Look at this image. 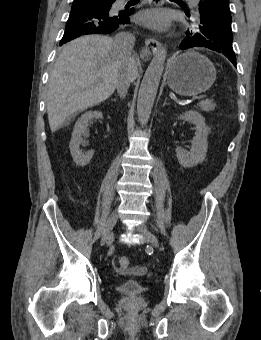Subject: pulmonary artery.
I'll return each instance as SVG.
<instances>
[{"instance_id": "1", "label": "pulmonary artery", "mask_w": 261, "mask_h": 340, "mask_svg": "<svg viewBox=\"0 0 261 340\" xmlns=\"http://www.w3.org/2000/svg\"><path fill=\"white\" fill-rule=\"evenodd\" d=\"M194 4L196 3V0H191Z\"/></svg>"}]
</instances>
